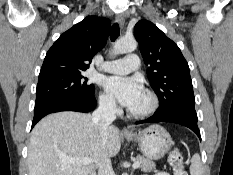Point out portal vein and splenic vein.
Returning a JSON list of instances; mask_svg holds the SVG:
<instances>
[{
	"label": "portal vein and splenic vein",
	"instance_id": "18ae733b",
	"mask_svg": "<svg viewBox=\"0 0 233 175\" xmlns=\"http://www.w3.org/2000/svg\"><path fill=\"white\" fill-rule=\"evenodd\" d=\"M66 162L90 165L92 163V160L90 158H71L68 159ZM139 166H140V162L138 160L133 163L134 169L138 168Z\"/></svg>",
	"mask_w": 233,
	"mask_h": 175
}]
</instances>
